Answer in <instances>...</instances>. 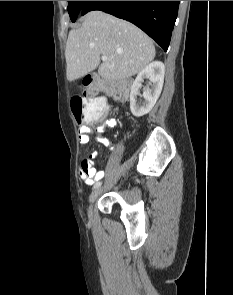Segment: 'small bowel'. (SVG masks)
<instances>
[{
    "label": "small bowel",
    "mask_w": 233,
    "mask_h": 295,
    "mask_svg": "<svg viewBox=\"0 0 233 295\" xmlns=\"http://www.w3.org/2000/svg\"><path fill=\"white\" fill-rule=\"evenodd\" d=\"M108 126H114L116 124L114 119H110L106 123ZM104 126H90L84 125L79 128V142L80 145L85 147L89 143L90 136H94L96 140L103 146L109 148L110 151H114L115 147L111 144L109 139L104 135ZM98 153L96 151L90 152L87 156L84 155L80 164L79 174L82 180L91 185L94 182L100 180L104 177L105 172L102 170L96 169L95 159L97 158Z\"/></svg>",
    "instance_id": "1"
}]
</instances>
